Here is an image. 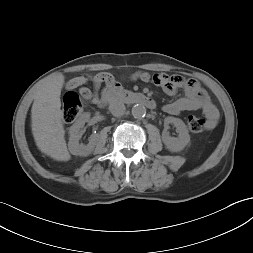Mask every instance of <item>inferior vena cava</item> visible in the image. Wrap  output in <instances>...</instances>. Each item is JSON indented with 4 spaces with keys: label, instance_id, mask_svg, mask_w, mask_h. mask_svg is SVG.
Listing matches in <instances>:
<instances>
[{
    "label": "inferior vena cava",
    "instance_id": "obj_1",
    "mask_svg": "<svg viewBox=\"0 0 253 253\" xmlns=\"http://www.w3.org/2000/svg\"><path fill=\"white\" fill-rule=\"evenodd\" d=\"M109 110L115 117H120L125 113V105L120 101L110 103Z\"/></svg>",
    "mask_w": 253,
    "mask_h": 253
}]
</instances>
